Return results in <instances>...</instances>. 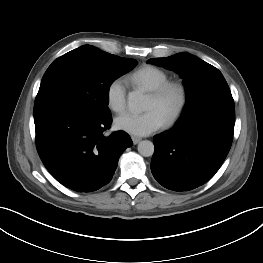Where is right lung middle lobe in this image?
<instances>
[{"label": "right lung middle lobe", "mask_w": 263, "mask_h": 263, "mask_svg": "<svg viewBox=\"0 0 263 263\" xmlns=\"http://www.w3.org/2000/svg\"><path fill=\"white\" fill-rule=\"evenodd\" d=\"M131 58L83 45L57 58L46 70L34 104V116L57 109H74L95 116L108 109L112 82L137 65Z\"/></svg>", "instance_id": "1"}]
</instances>
